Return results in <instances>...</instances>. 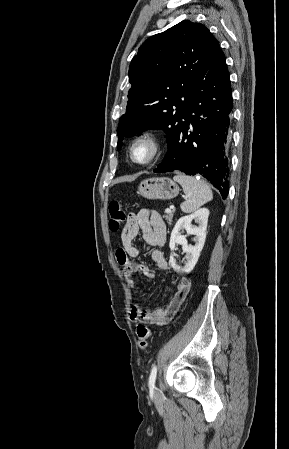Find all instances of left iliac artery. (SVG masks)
Returning a JSON list of instances; mask_svg holds the SVG:
<instances>
[{"instance_id":"obj_1","label":"left iliac artery","mask_w":289,"mask_h":449,"mask_svg":"<svg viewBox=\"0 0 289 449\" xmlns=\"http://www.w3.org/2000/svg\"><path fill=\"white\" fill-rule=\"evenodd\" d=\"M156 375H157V367L153 366L150 376H149V383H148L151 391H153L155 388Z\"/></svg>"}]
</instances>
